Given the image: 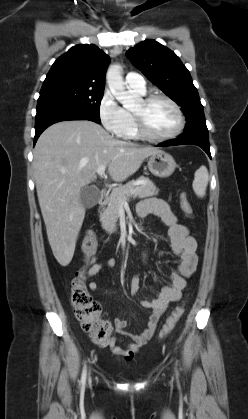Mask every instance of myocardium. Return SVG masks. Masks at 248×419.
<instances>
[{
  "label": "myocardium",
  "instance_id": "myocardium-1",
  "mask_svg": "<svg viewBox=\"0 0 248 419\" xmlns=\"http://www.w3.org/2000/svg\"><path fill=\"white\" fill-rule=\"evenodd\" d=\"M157 100H163L165 102H167L168 104H170L173 109L175 110L177 117H178V124L177 127L169 134L166 135H154L153 133H151L146 125V121L145 118L143 116L142 113L140 112H133V117L135 120V124H136V128L137 131L139 133V135L147 140H151V141H158V142H162V141H168L171 139L176 138L177 136H179L184 128H185V116L184 113L181 109V107L179 106V104L173 100L171 97L164 95V94H151L148 95L146 97H143L141 99L142 103L144 105H149L150 103L157 101Z\"/></svg>",
  "mask_w": 248,
  "mask_h": 419
}]
</instances>
